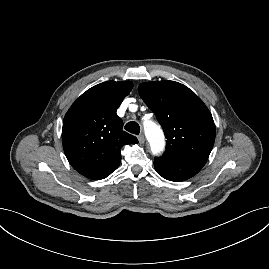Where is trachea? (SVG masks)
I'll list each match as a JSON object with an SVG mask.
<instances>
[{
    "mask_svg": "<svg viewBox=\"0 0 269 269\" xmlns=\"http://www.w3.org/2000/svg\"><path fill=\"white\" fill-rule=\"evenodd\" d=\"M124 128L126 131L135 135H138L140 132L139 124L135 121L128 122Z\"/></svg>",
    "mask_w": 269,
    "mask_h": 269,
    "instance_id": "1",
    "label": "trachea"
}]
</instances>
